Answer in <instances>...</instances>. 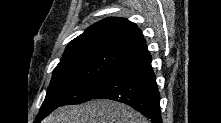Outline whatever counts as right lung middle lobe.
I'll list each match as a JSON object with an SVG mask.
<instances>
[{"instance_id":"obj_1","label":"right lung middle lobe","mask_w":221,"mask_h":123,"mask_svg":"<svg viewBox=\"0 0 221 123\" xmlns=\"http://www.w3.org/2000/svg\"><path fill=\"white\" fill-rule=\"evenodd\" d=\"M129 58L104 49L81 50L63 56L53 71L37 118L48 115L59 106L88 101L95 86Z\"/></svg>"}]
</instances>
